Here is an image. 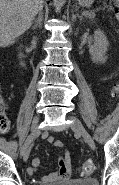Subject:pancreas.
Wrapping results in <instances>:
<instances>
[{
  "label": "pancreas",
  "mask_w": 119,
  "mask_h": 185,
  "mask_svg": "<svg viewBox=\"0 0 119 185\" xmlns=\"http://www.w3.org/2000/svg\"><path fill=\"white\" fill-rule=\"evenodd\" d=\"M86 17H88L89 19H94L95 18V13L91 12L88 15H86Z\"/></svg>",
  "instance_id": "pancreas-1"
}]
</instances>
